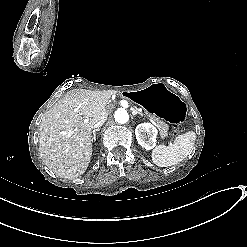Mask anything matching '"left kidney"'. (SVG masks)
<instances>
[{"label": "left kidney", "instance_id": "left-kidney-1", "mask_svg": "<svg viewBox=\"0 0 247 247\" xmlns=\"http://www.w3.org/2000/svg\"><path fill=\"white\" fill-rule=\"evenodd\" d=\"M156 133V129L149 123H141L137 125L135 129L137 143L146 150L154 148Z\"/></svg>", "mask_w": 247, "mask_h": 247}]
</instances>
